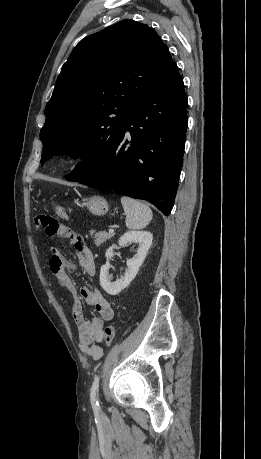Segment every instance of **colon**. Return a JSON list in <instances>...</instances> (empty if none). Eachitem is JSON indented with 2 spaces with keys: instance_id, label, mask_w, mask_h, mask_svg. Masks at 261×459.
Returning a JSON list of instances; mask_svg holds the SVG:
<instances>
[{
  "instance_id": "5ec220e1",
  "label": "colon",
  "mask_w": 261,
  "mask_h": 459,
  "mask_svg": "<svg viewBox=\"0 0 261 459\" xmlns=\"http://www.w3.org/2000/svg\"><path fill=\"white\" fill-rule=\"evenodd\" d=\"M54 211L55 213L60 217V218H63V219H66L68 217L67 215V212L65 210L64 207L62 206H54ZM37 223L41 226H43L44 228H47L48 230L52 231L55 229L56 225H57V221L51 217V216H48V215H40L37 217ZM115 335H116V329L113 325H109L105 328V331H104V340H105V345L106 347H110L114 338H115Z\"/></svg>"
}]
</instances>
